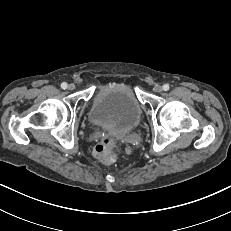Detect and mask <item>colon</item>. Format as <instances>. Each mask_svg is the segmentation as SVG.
<instances>
[{"instance_id": "5ec220e1", "label": "colon", "mask_w": 231, "mask_h": 231, "mask_svg": "<svg viewBox=\"0 0 231 231\" xmlns=\"http://www.w3.org/2000/svg\"><path fill=\"white\" fill-rule=\"evenodd\" d=\"M116 139L105 135L101 137L93 150L94 156L104 163L111 162L115 157Z\"/></svg>"}]
</instances>
